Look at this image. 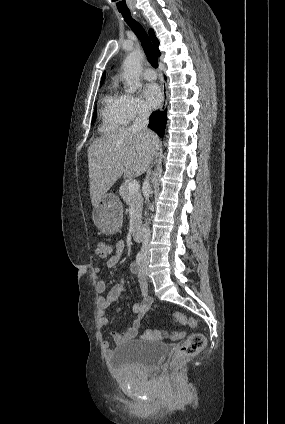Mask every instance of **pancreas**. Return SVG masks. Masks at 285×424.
Returning a JSON list of instances; mask_svg holds the SVG:
<instances>
[{
	"label": "pancreas",
	"instance_id": "1",
	"mask_svg": "<svg viewBox=\"0 0 285 424\" xmlns=\"http://www.w3.org/2000/svg\"><path fill=\"white\" fill-rule=\"evenodd\" d=\"M128 183L124 182L119 189V194L124 202H126L127 205H133L134 206V213H135V219H139L141 212H142V195L140 190L136 193L130 194L128 190Z\"/></svg>",
	"mask_w": 285,
	"mask_h": 424
}]
</instances>
